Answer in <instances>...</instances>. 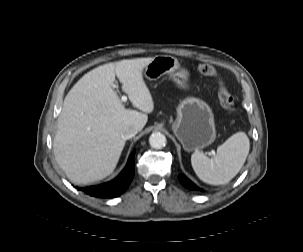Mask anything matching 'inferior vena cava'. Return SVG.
Listing matches in <instances>:
<instances>
[{"label":"inferior vena cava","instance_id":"obj_1","mask_svg":"<svg viewBox=\"0 0 303 252\" xmlns=\"http://www.w3.org/2000/svg\"><path fill=\"white\" fill-rule=\"evenodd\" d=\"M137 132H138V128L136 126L127 125L121 129L120 133H121V137L124 140H127V139H130L133 136H135L137 134Z\"/></svg>","mask_w":303,"mask_h":252}]
</instances>
